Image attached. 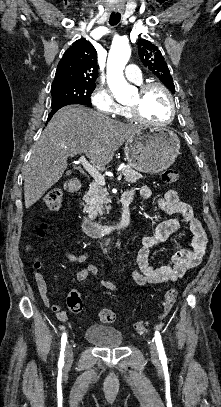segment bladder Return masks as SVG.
<instances>
[{"mask_svg":"<svg viewBox=\"0 0 221 407\" xmlns=\"http://www.w3.org/2000/svg\"><path fill=\"white\" fill-rule=\"evenodd\" d=\"M84 336L85 340L102 348L119 347L123 343V334L110 325H91Z\"/></svg>","mask_w":221,"mask_h":407,"instance_id":"1","label":"bladder"}]
</instances>
